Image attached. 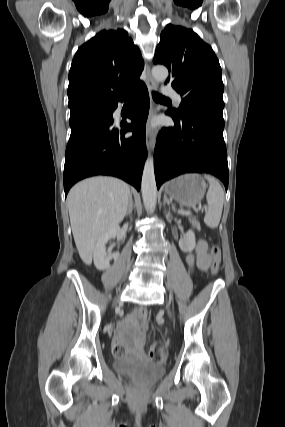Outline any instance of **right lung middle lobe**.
I'll use <instances>...</instances> for the list:
<instances>
[{"label": "right lung middle lobe", "instance_id": "dd1d6c3e", "mask_svg": "<svg viewBox=\"0 0 285 427\" xmlns=\"http://www.w3.org/2000/svg\"><path fill=\"white\" fill-rule=\"evenodd\" d=\"M111 110H112V105H95V106L88 107L84 110H81L79 112L71 113L70 125L85 114H89V113L107 114V113H110Z\"/></svg>", "mask_w": 285, "mask_h": 427}]
</instances>
